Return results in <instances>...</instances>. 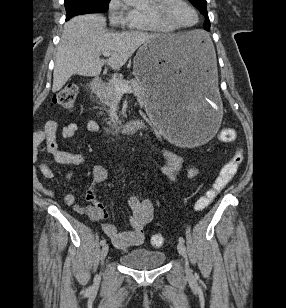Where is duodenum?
<instances>
[{
	"mask_svg": "<svg viewBox=\"0 0 286 308\" xmlns=\"http://www.w3.org/2000/svg\"><path fill=\"white\" fill-rule=\"evenodd\" d=\"M102 80L100 78L94 79L91 85L93 92L98 91L102 87ZM145 127V123L142 120H130L121 124H114L107 128V132L110 134L126 133L130 130H138Z\"/></svg>",
	"mask_w": 286,
	"mask_h": 308,
	"instance_id": "1",
	"label": "duodenum"
}]
</instances>
